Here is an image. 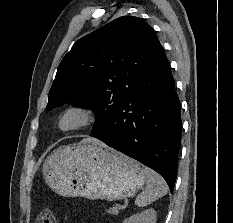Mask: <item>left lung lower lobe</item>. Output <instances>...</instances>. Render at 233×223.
Masks as SVG:
<instances>
[{
	"label": "left lung lower lobe",
	"instance_id": "0a47b994",
	"mask_svg": "<svg viewBox=\"0 0 233 223\" xmlns=\"http://www.w3.org/2000/svg\"><path fill=\"white\" fill-rule=\"evenodd\" d=\"M91 136L158 172L173 192L181 143L180 102L161 44L116 116Z\"/></svg>",
	"mask_w": 233,
	"mask_h": 223
}]
</instances>
